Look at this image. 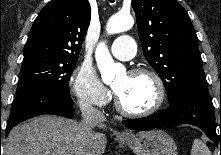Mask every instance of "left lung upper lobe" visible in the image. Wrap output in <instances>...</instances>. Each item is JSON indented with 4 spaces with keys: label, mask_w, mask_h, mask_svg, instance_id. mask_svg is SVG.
Here are the masks:
<instances>
[{
    "label": "left lung upper lobe",
    "mask_w": 221,
    "mask_h": 155,
    "mask_svg": "<svg viewBox=\"0 0 221 155\" xmlns=\"http://www.w3.org/2000/svg\"><path fill=\"white\" fill-rule=\"evenodd\" d=\"M144 56L162 79L169 104L189 88L207 85L198 40L176 0H132Z\"/></svg>",
    "instance_id": "1"
}]
</instances>
